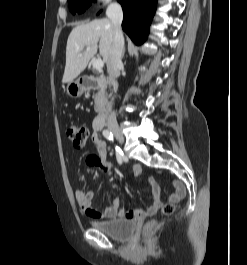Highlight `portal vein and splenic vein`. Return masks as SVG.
Instances as JSON below:
<instances>
[{"mask_svg": "<svg viewBox=\"0 0 247 265\" xmlns=\"http://www.w3.org/2000/svg\"><path fill=\"white\" fill-rule=\"evenodd\" d=\"M86 50H90V47H87ZM104 66V62L101 59H95L93 61V68L96 70H101Z\"/></svg>", "mask_w": 247, "mask_h": 265, "instance_id": "portal-vein-and-splenic-vein-1", "label": "portal vein and splenic vein"}]
</instances>
